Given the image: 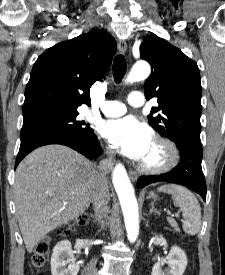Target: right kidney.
Masks as SVG:
<instances>
[{
    "label": "right kidney",
    "mask_w": 225,
    "mask_h": 275,
    "mask_svg": "<svg viewBox=\"0 0 225 275\" xmlns=\"http://www.w3.org/2000/svg\"><path fill=\"white\" fill-rule=\"evenodd\" d=\"M79 269L80 265L74 257L71 242L63 240L57 243L51 256L52 275H77Z\"/></svg>",
    "instance_id": "right-kidney-1"
}]
</instances>
